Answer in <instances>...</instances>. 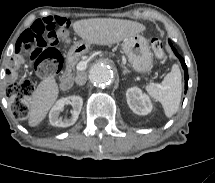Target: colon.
Wrapping results in <instances>:
<instances>
[{"instance_id":"5ec220e1","label":"colon","mask_w":215,"mask_h":183,"mask_svg":"<svg viewBox=\"0 0 215 183\" xmlns=\"http://www.w3.org/2000/svg\"><path fill=\"white\" fill-rule=\"evenodd\" d=\"M67 22L62 17L37 20L20 38L15 58L20 63H33L39 76H47L59 70L61 54L56 46L60 40L68 41ZM151 47L155 56L162 60L165 51L160 39L153 38ZM7 96L12 102L16 118L25 119L29 109L27 100L34 91L32 82L23 80V68L18 63H11L6 68Z\"/></svg>"}]
</instances>
